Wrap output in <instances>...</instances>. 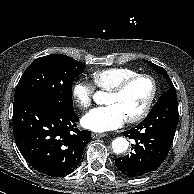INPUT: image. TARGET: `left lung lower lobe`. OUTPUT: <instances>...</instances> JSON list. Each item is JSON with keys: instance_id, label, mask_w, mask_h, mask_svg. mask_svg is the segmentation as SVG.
<instances>
[{"instance_id": "left-lung-lower-lobe-1", "label": "left lung lower lobe", "mask_w": 194, "mask_h": 194, "mask_svg": "<svg viewBox=\"0 0 194 194\" xmlns=\"http://www.w3.org/2000/svg\"><path fill=\"white\" fill-rule=\"evenodd\" d=\"M178 118L177 97L158 101L139 125L123 132L136 144L130 155L115 160L117 168L130 178L155 171L170 150Z\"/></svg>"}]
</instances>
